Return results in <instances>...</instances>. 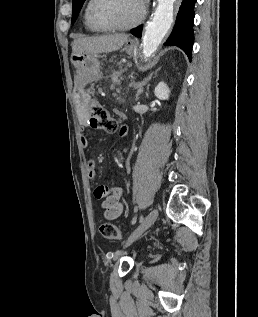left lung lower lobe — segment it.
<instances>
[{
    "mask_svg": "<svg viewBox=\"0 0 258 317\" xmlns=\"http://www.w3.org/2000/svg\"><path fill=\"white\" fill-rule=\"evenodd\" d=\"M197 0H183L177 15L174 29L169 36L166 46H178L189 57L191 61L193 46V22H194V6ZM132 34L141 37L142 26L133 29Z\"/></svg>",
    "mask_w": 258,
    "mask_h": 317,
    "instance_id": "left-lung-lower-lobe-1",
    "label": "left lung lower lobe"
}]
</instances>
